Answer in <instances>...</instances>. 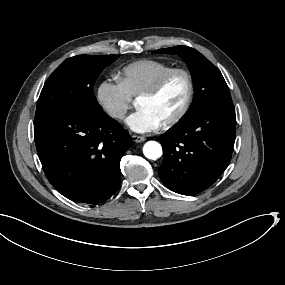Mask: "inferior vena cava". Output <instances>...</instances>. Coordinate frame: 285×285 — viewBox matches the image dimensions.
I'll list each match as a JSON object with an SVG mask.
<instances>
[{
  "mask_svg": "<svg viewBox=\"0 0 285 285\" xmlns=\"http://www.w3.org/2000/svg\"><path fill=\"white\" fill-rule=\"evenodd\" d=\"M127 106H112L107 110L111 117L124 118Z\"/></svg>",
  "mask_w": 285,
  "mask_h": 285,
  "instance_id": "obj_1",
  "label": "inferior vena cava"
}]
</instances>
